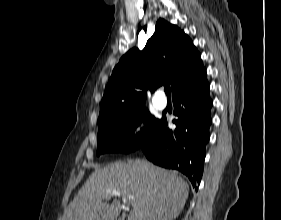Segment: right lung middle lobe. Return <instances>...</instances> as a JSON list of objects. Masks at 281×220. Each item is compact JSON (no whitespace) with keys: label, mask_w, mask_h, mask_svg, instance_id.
Here are the masks:
<instances>
[{"label":"right lung middle lobe","mask_w":281,"mask_h":220,"mask_svg":"<svg viewBox=\"0 0 281 220\" xmlns=\"http://www.w3.org/2000/svg\"><path fill=\"white\" fill-rule=\"evenodd\" d=\"M142 122L150 124L134 135ZM159 123L160 120L150 115L146 108L102 122L98 125L97 155L138 150L152 136Z\"/></svg>","instance_id":"obj_1"}]
</instances>
